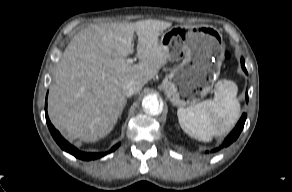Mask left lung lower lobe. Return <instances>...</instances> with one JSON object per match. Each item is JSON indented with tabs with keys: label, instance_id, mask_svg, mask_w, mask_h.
Returning <instances> with one entry per match:
<instances>
[{
	"label": "left lung lower lobe",
	"instance_id": "left-lung-lower-lobe-1",
	"mask_svg": "<svg viewBox=\"0 0 292 192\" xmlns=\"http://www.w3.org/2000/svg\"><path fill=\"white\" fill-rule=\"evenodd\" d=\"M241 66L242 69L245 71V73L247 74L245 65H244V59H241ZM246 101H248V94L246 93ZM247 115L243 114L242 117L240 118L239 122L237 123L236 127L234 128V130L229 134V136L225 139L224 143L222 144V146H220L219 148H216L213 151H218L219 149L229 146L233 141H235L238 136L240 135L243 127H244V123L246 120Z\"/></svg>",
	"mask_w": 292,
	"mask_h": 192
}]
</instances>
